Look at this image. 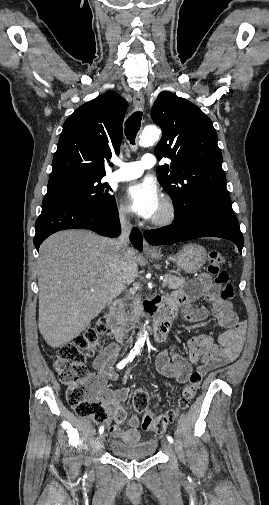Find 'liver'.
Instances as JSON below:
<instances>
[{
	"label": "liver",
	"mask_w": 269,
	"mask_h": 505,
	"mask_svg": "<svg viewBox=\"0 0 269 505\" xmlns=\"http://www.w3.org/2000/svg\"><path fill=\"white\" fill-rule=\"evenodd\" d=\"M138 275L136 252L117 251V240L87 230L48 237L37 261L39 331L58 348L90 322Z\"/></svg>",
	"instance_id": "1"
}]
</instances>
